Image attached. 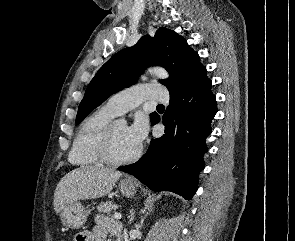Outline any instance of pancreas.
Here are the masks:
<instances>
[{
    "mask_svg": "<svg viewBox=\"0 0 295 241\" xmlns=\"http://www.w3.org/2000/svg\"><path fill=\"white\" fill-rule=\"evenodd\" d=\"M116 209V205L111 201L102 202L97 206L99 212L110 214L112 210Z\"/></svg>",
    "mask_w": 295,
    "mask_h": 241,
    "instance_id": "obj_1",
    "label": "pancreas"
}]
</instances>
